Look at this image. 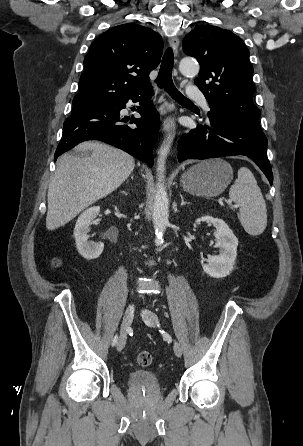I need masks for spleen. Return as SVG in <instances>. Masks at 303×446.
Returning a JSON list of instances; mask_svg holds the SVG:
<instances>
[{
    "mask_svg": "<svg viewBox=\"0 0 303 446\" xmlns=\"http://www.w3.org/2000/svg\"><path fill=\"white\" fill-rule=\"evenodd\" d=\"M229 197L240 207L239 220L244 230L257 236L267 226L265 200L253 173L247 167L238 170V178L229 190Z\"/></svg>",
    "mask_w": 303,
    "mask_h": 446,
    "instance_id": "spleen-1",
    "label": "spleen"
}]
</instances>
